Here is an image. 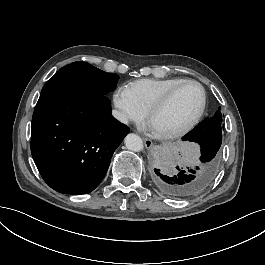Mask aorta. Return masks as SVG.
<instances>
[{"instance_id": "obj_1", "label": "aorta", "mask_w": 265, "mask_h": 265, "mask_svg": "<svg viewBox=\"0 0 265 265\" xmlns=\"http://www.w3.org/2000/svg\"><path fill=\"white\" fill-rule=\"evenodd\" d=\"M127 149L133 152H141L144 149L143 140L135 134H128L125 138Z\"/></svg>"}]
</instances>
